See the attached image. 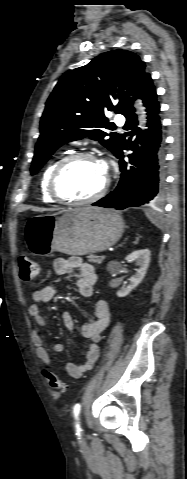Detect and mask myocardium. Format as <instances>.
Here are the masks:
<instances>
[{
    "instance_id": "1",
    "label": "myocardium",
    "mask_w": 187,
    "mask_h": 479,
    "mask_svg": "<svg viewBox=\"0 0 187 479\" xmlns=\"http://www.w3.org/2000/svg\"><path fill=\"white\" fill-rule=\"evenodd\" d=\"M79 159H92L97 162H100L93 153L87 152V151H78L63 157L54 167L48 182L49 194L55 201L68 204V205H85V204H90V203L98 201L107 193L110 186V178L107 173H106L105 181L103 185L101 186V188L94 195L90 197L83 198V199H75L71 197H66L60 193V191L58 190V181L62 172L71 163Z\"/></svg>"
}]
</instances>
